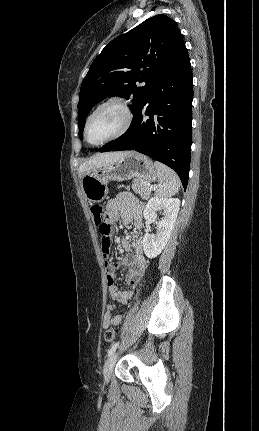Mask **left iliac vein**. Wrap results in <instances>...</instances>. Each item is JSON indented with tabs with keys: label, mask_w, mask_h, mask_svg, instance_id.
Returning a JSON list of instances; mask_svg holds the SVG:
<instances>
[{
	"label": "left iliac vein",
	"mask_w": 259,
	"mask_h": 431,
	"mask_svg": "<svg viewBox=\"0 0 259 431\" xmlns=\"http://www.w3.org/2000/svg\"><path fill=\"white\" fill-rule=\"evenodd\" d=\"M116 360H117V353H113L106 361L103 369L105 382H109V380L111 379Z\"/></svg>",
	"instance_id": "left-iliac-vein-1"
}]
</instances>
